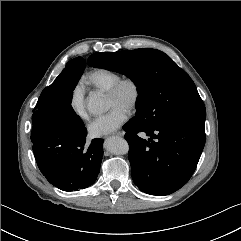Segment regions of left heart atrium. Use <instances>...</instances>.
I'll return each mask as SVG.
<instances>
[{
  "label": "left heart atrium",
  "instance_id": "left-heart-atrium-1",
  "mask_svg": "<svg viewBox=\"0 0 241 241\" xmlns=\"http://www.w3.org/2000/svg\"><path fill=\"white\" fill-rule=\"evenodd\" d=\"M127 120V110L120 106H114L111 110L95 119L89 125V134L93 138H98L115 132Z\"/></svg>",
  "mask_w": 241,
  "mask_h": 241
}]
</instances>
